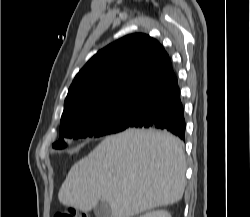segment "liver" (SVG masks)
Returning a JSON list of instances; mask_svg holds the SVG:
<instances>
[{"instance_id":"6515ba94","label":"liver","mask_w":250,"mask_h":217,"mask_svg":"<svg viewBox=\"0 0 250 217\" xmlns=\"http://www.w3.org/2000/svg\"><path fill=\"white\" fill-rule=\"evenodd\" d=\"M185 172L178 138L154 129H127L106 137L76 162L58 198L84 212L106 202L113 217H132L180 201Z\"/></svg>"}]
</instances>
